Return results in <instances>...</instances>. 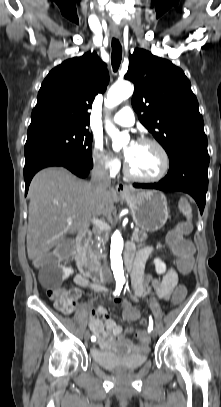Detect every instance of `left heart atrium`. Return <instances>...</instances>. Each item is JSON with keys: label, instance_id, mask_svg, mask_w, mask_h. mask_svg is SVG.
<instances>
[{"label": "left heart atrium", "instance_id": "obj_1", "mask_svg": "<svg viewBox=\"0 0 221 407\" xmlns=\"http://www.w3.org/2000/svg\"><path fill=\"white\" fill-rule=\"evenodd\" d=\"M131 145H135V143H132ZM125 155H126V153H125Z\"/></svg>", "mask_w": 221, "mask_h": 407}]
</instances>
